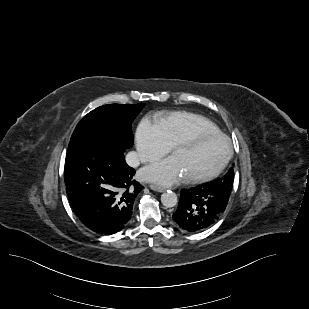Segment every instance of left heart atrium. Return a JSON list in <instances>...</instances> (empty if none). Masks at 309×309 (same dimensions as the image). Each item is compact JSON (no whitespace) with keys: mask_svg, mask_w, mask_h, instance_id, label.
<instances>
[{"mask_svg":"<svg viewBox=\"0 0 309 309\" xmlns=\"http://www.w3.org/2000/svg\"><path fill=\"white\" fill-rule=\"evenodd\" d=\"M140 177L147 181L171 185L185 180L187 175L179 159L172 155L143 168Z\"/></svg>","mask_w":309,"mask_h":309,"instance_id":"39dd6f15","label":"left heart atrium"}]
</instances>
